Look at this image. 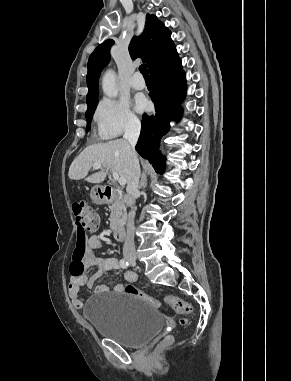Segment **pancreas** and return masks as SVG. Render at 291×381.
I'll use <instances>...</instances> for the list:
<instances>
[{
    "label": "pancreas",
    "instance_id": "cf45deb5",
    "mask_svg": "<svg viewBox=\"0 0 291 381\" xmlns=\"http://www.w3.org/2000/svg\"><path fill=\"white\" fill-rule=\"evenodd\" d=\"M110 228L112 230L116 229L118 226L122 225L126 221V208L122 200L115 201L110 206Z\"/></svg>",
    "mask_w": 291,
    "mask_h": 381
}]
</instances>
